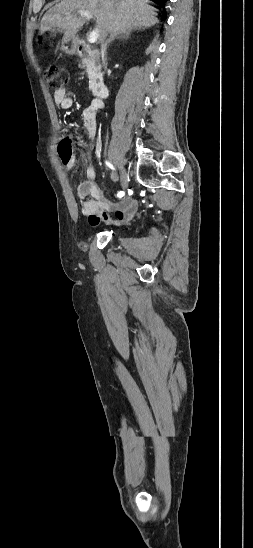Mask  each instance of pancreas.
Here are the masks:
<instances>
[{
    "label": "pancreas",
    "mask_w": 253,
    "mask_h": 548,
    "mask_svg": "<svg viewBox=\"0 0 253 548\" xmlns=\"http://www.w3.org/2000/svg\"><path fill=\"white\" fill-rule=\"evenodd\" d=\"M83 65L86 67V72L88 74L89 88L91 90H96L102 79L101 65L98 60L91 57L83 60Z\"/></svg>",
    "instance_id": "cf45deb5"
}]
</instances>
